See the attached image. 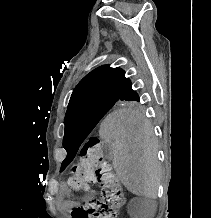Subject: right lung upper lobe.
Segmentation results:
<instances>
[{"label":"right lung upper lobe","mask_w":211,"mask_h":218,"mask_svg":"<svg viewBox=\"0 0 211 218\" xmlns=\"http://www.w3.org/2000/svg\"><path fill=\"white\" fill-rule=\"evenodd\" d=\"M130 84L120 68L101 66L90 72L76 86L68 108L92 100L125 99L122 95Z\"/></svg>","instance_id":"right-lung-upper-lobe-1"}]
</instances>
